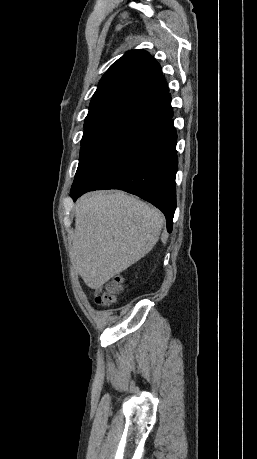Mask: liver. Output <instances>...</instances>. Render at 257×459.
Masks as SVG:
<instances>
[{
  "instance_id": "obj_1",
  "label": "liver",
  "mask_w": 257,
  "mask_h": 459,
  "mask_svg": "<svg viewBox=\"0 0 257 459\" xmlns=\"http://www.w3.org/2000/svg\"><path fill=\"white\" fill-rule=\"evenodd\" d=\"M164 218L124 192H94L75 206L71 261L85 284L98 289L155 246Z\"/></svg>"
}]
</instances>
